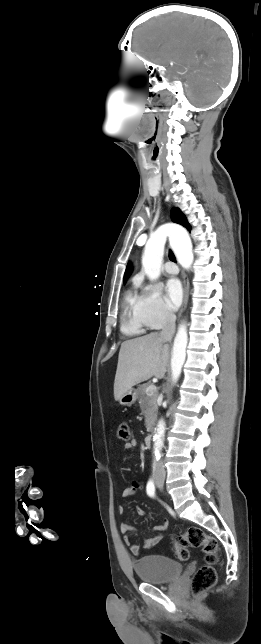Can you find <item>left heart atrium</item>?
<instances>
[{"label": "left heart atrium", "mask_w": 261, "mask_h": 644, "mask_svg": "<svg viewBox=\"0 0 261 644\" xmlns=\"http://www.w3.org/2000/svg\"><path fill=\"white\" fill-rule=\"evenodd\" d=\"M166 302L171 310H176L183 298V289L181 282L176 278H171L166 283Z\"/></svg>", "instance_id": "1"}]
</instances>
